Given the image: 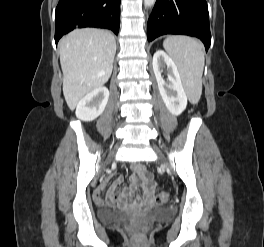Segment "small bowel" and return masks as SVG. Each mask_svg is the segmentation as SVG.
Returning a JSON list of instances; mask_svg holds the SVG:
<instances>
[{"mask_svg": "<svg viewBox=\"0 0 264 247\" xmlns=\"http://www.w3.org/2000/svg\"><path fill=\"white\" fill-rule=\"evenodd\" d=\"M131 184L128 188L122 190L119 189L122 183V177H118L108 191L107 197L104 196L101 190H98L95 194V199L99 203L110 202L113 204H124L127 198L137 193L139 187L144 185L143 199L150 201L156 192V184L150 173L146 171V168L141 163H135L131 166ZM140 200V198H137Z\"/></svg>", "mask_w": 264, "mask_h": 247, "instance_id": "small-bowel-1", "label": "small bowel"}]
</instances>
